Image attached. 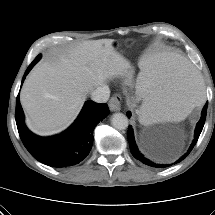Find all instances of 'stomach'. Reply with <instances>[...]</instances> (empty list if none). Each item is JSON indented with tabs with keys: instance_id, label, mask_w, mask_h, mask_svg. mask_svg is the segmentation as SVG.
I'll return each instance as SVG.
<instances>
[{
	"instance_id": "obj_1",
	"label": "stomach",
	"mask_w": 215,
	"mask_h": 215,
	"mask_svg": "<svg viewBox=\"0 0 215 215\" xmlns=\"http://www.w3.org/2000/svg\"><path fill=\"white\" fill-rule=\"evenodd\" d=\"M127 84H128L129 86H132V80L129 79L128 82H127ZM138 86H139V83L137 82L136 87L138 88Z\"/></svg>"
}]
</instances>
